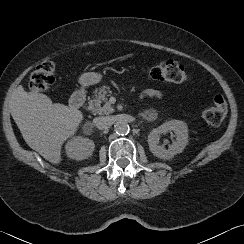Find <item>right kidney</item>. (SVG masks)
Wrapping results in <instances>:
<instances>
[{
  "instance_id": "obj_1",
  "label": "right kidney",
  "mask_w": 244,
  "mask_h": 244,
  "mask_svg": "<svg viewBox=\"0 0 244 244\" xmlns=\"http://www.w3.org/2000/svg\"><path fill=\"white\" fill-rule=\"evenodd\" d=\"M94 148V142L82 136L72 138L65 146L67 156L77 161L90 157Z\"/></svg>"
}]
</instances>
